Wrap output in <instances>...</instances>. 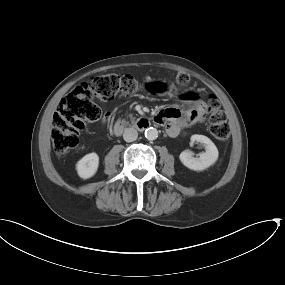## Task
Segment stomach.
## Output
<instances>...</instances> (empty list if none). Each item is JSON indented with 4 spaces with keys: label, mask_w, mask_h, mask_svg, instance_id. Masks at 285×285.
<instances>
[{
    "label": "stomach",
    "mask_w": 285,
    "mask_h": 285,
    "mask_svg": "<svg viewBox=\"0 0 285 285\" xmlns=\"http://www.w3.org/2000/svg\"><path fill=\"white\" fill-rule=\"evenodd\" d=\"M158 83H151V85H157ZM196 98V95L191 92H185L180 95L182 102L186 104H192Z\"/></svg>",
    "instance_id": "0dacf381"
}]
</instances>
